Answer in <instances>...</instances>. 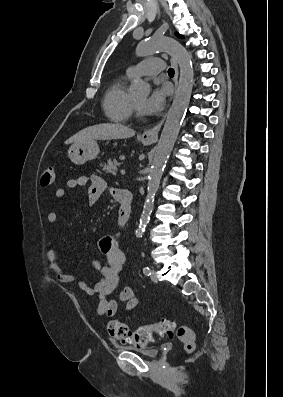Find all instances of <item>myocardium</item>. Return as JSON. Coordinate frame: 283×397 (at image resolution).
Here are the masks:
<instances>
[{
	"instance_id": "1",
	"label": "myocardium",
	"mask_w": 283,
	"mask_h": 397,
	"mask_svg": "<svg viewBox=\"0 0 283 397\" xmlns=\"http://www.w3.org/2000/svg\"><path fill=\"white\" fill-rule=\"evenodd\" d=\"M131 110L133 111V112H135V114L138 116V107L136 106V104L134 103V101L133 100H131Z\"/></svg>"
}]
</instances>
